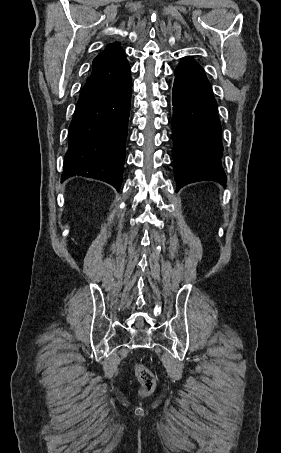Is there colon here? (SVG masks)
Segmentation results:
<instances>
[{"label": "colon", "instance_id": "colon-1", "mask_svg": "<svg viewBox=\"0 0 281 453\" xmlns=\"http://www.w3.org/2000/svg\"><path fill=\"white\" fill-rule=\"evenodd\" d=\"M132 372L137 377L143 381L150 382L152 380L153 374L146 365L142 363H136L132 366Z\"/></svg>", "mask_w": 281, "mask_h": 453}]
</instances>
